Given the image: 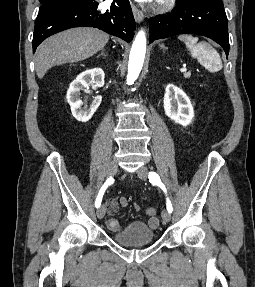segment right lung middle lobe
Segmentation results:
<instances>
[{
  "label": "right lung middle lobe",
  "mask_w": 255,
  "mask_h": 287,
  "mask_svg": "<svg viewBox=\"0 0 255 287\" xmlns=\"http://www.w3.org/2000/svg\"><path fill=\"white\" fill-rule=\"evenodd\" d=\"M42 4L40 7V10L53 6V5H59V4H68V3H84V2H91L94 0H39Z\"/></svg>",
  "instance_id": "dd1d6c3e"
}]
</instances>
